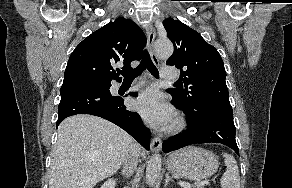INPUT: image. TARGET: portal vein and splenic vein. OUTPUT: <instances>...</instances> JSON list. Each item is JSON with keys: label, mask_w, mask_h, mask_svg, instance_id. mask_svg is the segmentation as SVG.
Instances as JSON below:
<instances>
[{"label": "portal vein and splenic vein", "mask_w": 292, "mask_h": 188, "mask_svg": "<svg viewBox=\"0 0 292 188\" xmlns=\"http://www.w3.org/2000/svg\"><path fill=\"white\" fill-rule=\"evenodd\" d=\"M179 185L182 187V188H192V186L188 183H185V182H179ZM203 185H209V182L208 181H203L201 183H199L198 185H196L197 188H201Z\"/></svg>", "instance_id": "1"}]
</instances>
